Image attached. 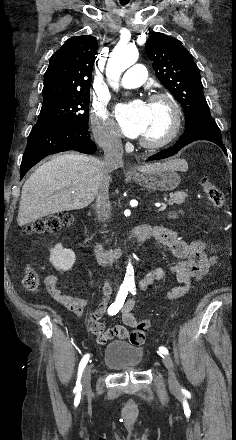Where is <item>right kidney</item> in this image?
<instances>
[{
    "instance_id": "ca27d5eb",
    "label": "right kidney",
    "mask_w": 236,
    "mask_h": 440,
    "mask_svg": "<svg viewBox=\"0 0 236 440\" xmlns=\"http://www.w3.org/2000/svg\"><path fill=\"white\" fill-rule=\"evenodd\" d=\"M75 260V253L71 249H64L61 243L51 249L50 262L58 270H70Z\"/></svg>"
}]
</instances>
